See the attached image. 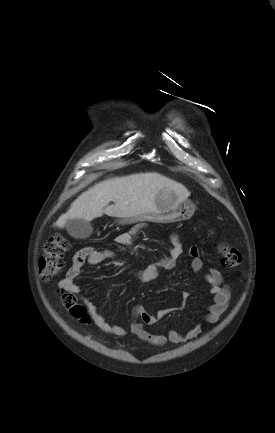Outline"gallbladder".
Instances as JSON below:
<instances>
[{
  "mask_svg": "<svg viewBox=\"0 0 275 433\" xmlns=\"http://www.w3.org/2000/svg\"><path fill=\"white\" fill-rule=\"evenodd\" d=\"M65 227L68 233L76 239H86L93 232L90 222L82 219H69Z\"/></svg>",
  "mask_w": 275,
  "mask_h": 433,
  "instance_id": "gallbladder-1",
  "label": "gallbladder"
}]
</instances>
